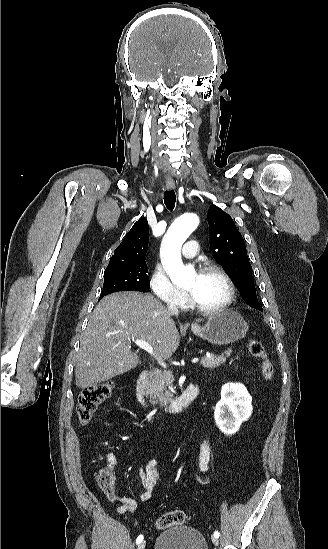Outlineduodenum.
Instances as JSON below:
<instances>
[{
	"label": "duodenum",
	"instance_id": "1",
	"mask_svg": "<svg viewBox=\"0 0 328 549\" xmlns=\"http://www.w3.org/2000/svg\"><path fill=\"white\" fill-rule=\"evenodd\" d=\"M150 373L147 370H144L140 373L136 385V395L140 404L149 409L153 407L149 404L147 399V388L149 383ZM199 388L195 384H190L185 391L174 401L164 406H161L157 409L170 414H175L181 412L185 409L198 395Z\"/></svg>",
	"mask_w": 328,
	"mask_h": 549
}]
</instances>
